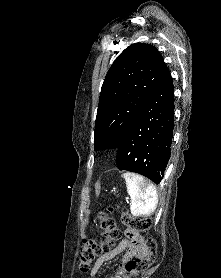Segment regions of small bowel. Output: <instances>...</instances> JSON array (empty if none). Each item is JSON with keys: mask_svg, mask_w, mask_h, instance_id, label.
<instances>
[{"mask_svg": "<svg viewBox=\"0 0 221 278\" xmlns=\"http://www.w3.org/2000/svg\"><path fill=\"white\" fill-rule=\"evenodd\" d=\"M143 250V241L140 234L130 229L126 230V239L121 241L118 246L102 254L94 263L91 270V276H96L100 269L108 262L114 260L120 254L122 256L121 271L119 273L109 276V278H128L124 271V266L133 257L140 256Z\"/></svg>", "mask_w": 221, "mask_h": 278, "instance_id": "small-bowel-1", "label": "small bowel"}]
</instances>
